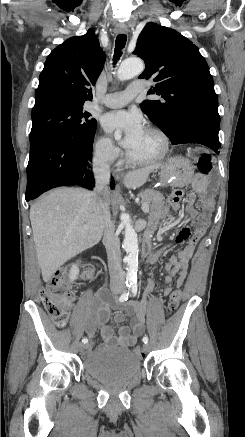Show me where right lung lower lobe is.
Returning a JSON list of instances; mask_svg holds the SVG:
<instances>
[{"mask_svg":"<svg viewBox=\"0 0 245 437\" xmlns=\"http://www.w3.org/2000/svg\"><path fill=\"white\" fill-rule=\"evenodd\" d=\"M93 139L86 143L69 144L48 136L31 146L26 201L59 186L78 184L92 190L94 178L89 171V162L92 160ZM114 186L112 180L110 187Z\"/></svg>","mask_w":245,"mask_h":437,"instance_id":"obj_1","label":"right lung lower lobe"}]
</instances>
